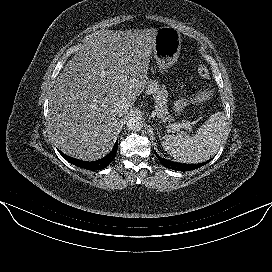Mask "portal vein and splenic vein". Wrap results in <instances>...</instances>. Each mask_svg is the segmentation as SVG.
Listing matches in <instances>:
<instances>
[{
  "mask_svg": "<svg viewBox=\"0 0 272 272\" xmlns=\"http://www.w3.org/2000/svg\"><path fill=\"white\" fill-rule=\"evenodd\" d=\"M171 127L175 131H180L181 128L191 129V126L189 124H185V123H183V124H173Z\"/></svg>",
  "mask_w": 272,
  "mask_h": 272,
  "instance_id": "18ae733b",
  "label": "portal vein and splenic vein"
}]
</instances>
